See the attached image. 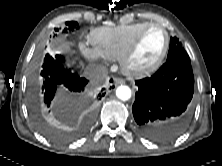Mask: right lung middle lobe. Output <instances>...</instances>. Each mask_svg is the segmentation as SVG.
Here are the masks:
<instances>
[{"instance_id":"obj_1","label":"right lung middle lobe","mask_w":222,"mask_h":166,"mask_svg":"<svg viewBox=\"0 0 222 166\" xmlns=\"http://www.w3.org/2000/svg\"><path fill=\"white\" fill-rule=\"evenodd\" d=\"M67 28L64 29V32L73 31L76 26L77 22L70 21L66 22ZM58 31V29H55ZM33 120L37 126V128L46 136L51 137L55 140H60L62 138V135L57 132L53 127H51L48 122L46 121V109L39 105L33 112Z\"/></svg>"}]
</instances>
